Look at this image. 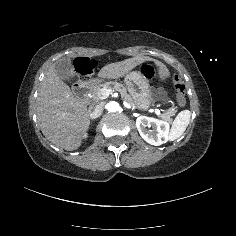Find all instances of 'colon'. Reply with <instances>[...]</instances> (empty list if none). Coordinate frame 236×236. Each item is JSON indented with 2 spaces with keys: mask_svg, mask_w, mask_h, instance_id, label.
Listing matches in <instances>:
<instances>
[{
  "mask_svg": "<svg viewBox=\"0 0 236 236\" xmlns=\"http://www.w3.org/2000/svg\"><path fill=\"white\" fill-rule=\"evenodd\" d=\"M88 65L85 63H80L79 68L82 71H86L88 69ZM142 73L145 77L151 79L154 78L157 74V68L151 64H145L142 66ZM172 81L174 84V88L176 90V99L180 106H184L186 103V96H185V85L182 80L177 76L174 75L172 77Z\"/></svg>",
  "mask_w": 236,
  "mask_h": 236,
  "instance_id": "obj_1",
  "label": "colon"
}]
</instances>
